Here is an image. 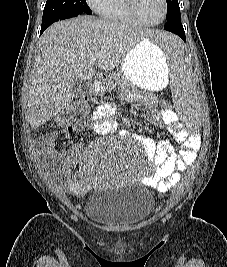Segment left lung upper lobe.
Instances as JSON below:
<instances>
[{
    "instance_id": "1",
    "label": "left lung upper lobe",
    "mask_w": 227,
    "mask_h": 267,
    "mask_svg": "<svg viewBox=\"0 0 227 267\" xmlns=\"http://www.w3.org/2000/svg\"><path fill=\"white\" fill-rule=\"evenodd\" d=\"M167 2V16L166 19H170L172 16H175L176 14L180 13V8L178 4V0H166Z\"/></svg>"
}]
</instances>
